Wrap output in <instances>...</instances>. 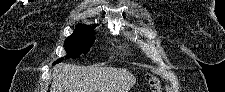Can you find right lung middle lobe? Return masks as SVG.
Masks as SVG:
<instances>
[{"mask_svg":"<svg viewBox=\"0 0 225 92\" xmlns=\"http://www.w3.org/2000/svg\"><path fill=\"white\" fill-rule=\"evenodd\" d=\"M94 33V26H84L74 30L73 34L64 42V47L67 52L65 57L77 58L81 54H86L95 41ZM62 60L63 58L58 59L53 65Z\"/></svg>","mask_w":225,"mask_h":92,"instance_id":"right-lung-middle-lobe-1","label":"right lung middle lobe"}]
</instances>
